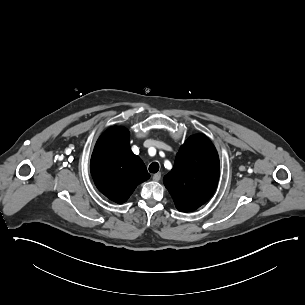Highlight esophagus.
Instances as JSON below:
<instances>
[{"mask_svg":"<svg viewBox=\"0 0 305 305\" xmlns=\"http://www.w3.org/2000/svg\"><path fill=\"white\" fill-rule=\"evenodd\" d=\"M160 178H161V173H160V172L154 174L153 177H152V179H153L154 181H156V182L159 181Z\"/></svg>","mask_w":305,"mask_h":305,"instance_id":"esophagus-1","label":"esophagus"}]
</instances>
